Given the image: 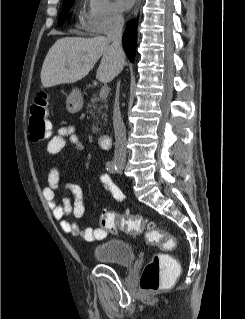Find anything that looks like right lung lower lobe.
Segmentation results:
<instances>
[{
    "instance_id": "98d812e1",
    "label": "right lung lower lobe",
    "mask_w": 245,
    "mask_h": 319,
    "mask_svg": "<svg viewBox=\"0 0 245 319\" xmlns=\"http://www.w3.org/2000/svg\"><path fill=\"white\" fill-rule=\"evenodd\" d=\"M135 40L136 26L133 21H130L126 26V31L123 35V46L131 62H133L135 55Z\"/></svg>"
}]
</instances>
